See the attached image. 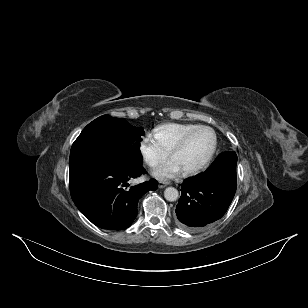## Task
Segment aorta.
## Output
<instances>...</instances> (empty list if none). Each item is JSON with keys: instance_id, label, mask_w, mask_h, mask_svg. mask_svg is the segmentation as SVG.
<instances>
[{"instance_id": "762f6f07", "label": "aorta", "mask_w": 308, "mask_h": 308, "mask_svg": "<svg viewBox=\"0 0 308 308\" xmlns=\"http://www.w3.org/2000/svg\"><path fill=\"white\" fill-rule=\"evenodd\" d=\"M178 195V190L174 187H167L164 191V197L167 201L177 200Z\"/></svg>"}]
</instances>
